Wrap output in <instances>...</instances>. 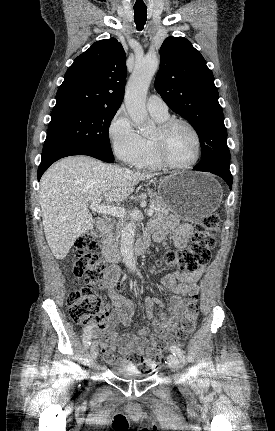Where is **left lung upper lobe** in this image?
<instances>
[{
    "label": "left lung upper lobe",
    "mask_w": 275,
    "mask_h": 431,
    "mask_svg": "<svg viewBox=\"0 0 275 431\" xmlns=\"http://www.w3.org/2000/svg\"><path fill=\"white\" fill-rule=\"evenodd\" d=\"M155 88L166 104L195 128L202 158L196 167L229 170L227 130L212 71L184 37H168L160 48Z\"/></svg>",
    "instance_id": "left-lung-upper-lobe-1"
}]
</instances>
